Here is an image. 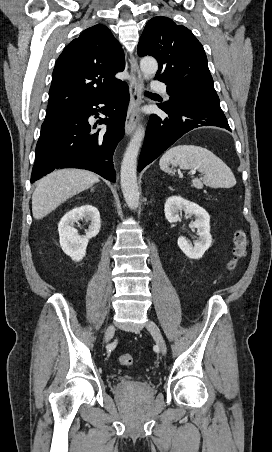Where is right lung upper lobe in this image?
<instances>
[{
  "mask_svg": "<svg viewBox=\"0 0 272 452\" xmlns=\"http://www.w3.org/2000/svg\"><path fill=\"white\" fill-rule=\"evenodd\" d=\"M123 50L102 24L84 30L59 56L53 70L46 114L70 111L114 91L123 82Z\"/></svg>",
  "mask_w": 272,
  "mask_h": 452,
  "instance_id": "obj_1",
  "label": "right lung upper lobe"
}]
</instances>
